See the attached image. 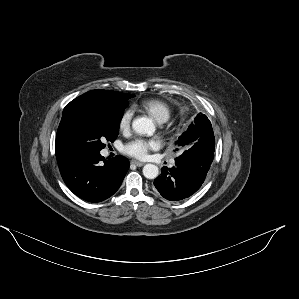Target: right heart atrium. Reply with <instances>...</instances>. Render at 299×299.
I'll return each instance as SVG.
<instances>
[{"label": "right heart atrium", "mask_w": 299, "mask_h": 299, "mask_svg": "<svg viewBox=\"0 0 299 299\" xmlns=\"http://www.w3.org/2000/svg\"><path fill=\"white\" fill-rule=\"evenodd\" d=\"M133 118V111L130 108L125 109L118 121V129L121 132L129 130Z\"/></svg>", "instance_id": "obj_1"}]
</instances>
